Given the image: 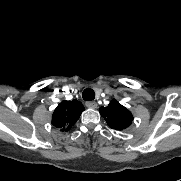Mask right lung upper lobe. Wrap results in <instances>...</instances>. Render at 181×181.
<instances>
[{
  "label": "right lung upper lobe",
  "instance_id": "right-lung-upper-lobe-1",
  "mask_svg": "<svg viewBox=\"0 0 181 181\" xmlns=\"http://www.w3.org/2000/svg\"><path fill=\"white\" fill-rule=\"evenodd\" d=\"M84 106L76 99L62 101L58 104L52 115V125L60 131H68L79 119Z\"/></svg>",
  "mask_w": 181,
  "mask_h": 181
}]
</instances>
